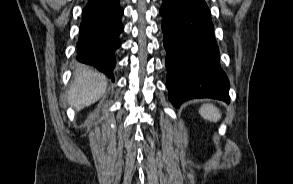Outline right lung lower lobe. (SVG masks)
<instances>
[{
  "mask_svg": "<svg viewBox=\"0 0 293 184\" xmlns=\"http://www.w3.org/2000/svg\"><path fill=\"white\" fill-rule=\"evenodd\" d=\"M123 12L119 0L89 2L83 9L80 24L77 60L93 65L112 81L116 64L114 52L120 46L119 35L124 29Z\"/></svg>",
  "mask_w": 293,
  "mask_h": 184,
  "instance_id": "right-lung-lower-lobe-1",
  "label": "right lung lower lobe"
}]
</instances>
